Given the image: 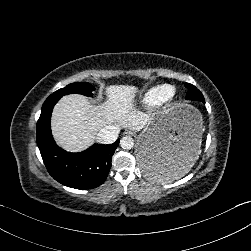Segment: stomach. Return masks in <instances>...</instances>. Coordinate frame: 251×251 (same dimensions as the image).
I'll use <instances>...</instances> for the list:
<instances>
[{
    "instance_id": "0dacf381",
    "label": "stomach",
    "mask_w": 251,
    "mask_h": 251,
    "mask_svg": "<svg viewBox=\"0 0 251 251\" xmlns=\"http://www.w3.org/2000/svg\"><path fill=\"white\" fill-rule=\"evenodd\" d=\"M203 115L187 102L150 116L137 138L135 155L141 171L161 182H176L198 166Z\"/></svg>"
}]
</instances>
